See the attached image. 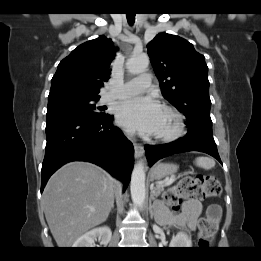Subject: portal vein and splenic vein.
Returning <instances> with one entry per match:
<instances>
[{"instance_id":"obj_1","label":"portal vein and splenic vein","mask_w":261,"mask_h":261,"mask_svg":"<svg viewBox=\"0 0 261 261\" xmlns=\"http://www.w3.org/2000/svg\"><path fill=\"white\" fill-rule=\"evenodd\" d=\"M175 180V177L172 176L170 179L166 180V181H163V182H160L158 185L159 186H166V185H170L174 182Z\"/></svg>"}]
</instances>
